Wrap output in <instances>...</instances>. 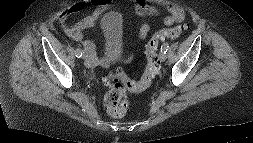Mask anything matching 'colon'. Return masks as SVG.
I'll return each mask as SVG.
<instances>
[{
    "label": "colon",
    "mask_w": 253,
    "mask_h": 143,
    "mask_svg": "<svg viewBox=\"0 0 253 143\" xmlns=\"http://www.w3.org/2000/svg\"><path fill=\"white\" fill-rule=\"evenodd\" d=\"M183 31V27H172L160 30L152 36L146 46V66L138 81L129 79L120 69L106 75L108 88L105 95V106L111 116L120 118L126 114L129 92H141L152 85L159 71L157 55L160 43L167 38L177 39Z\"/></svg>",
    "instance_id": "5ec220e1"
}]
</instances>
